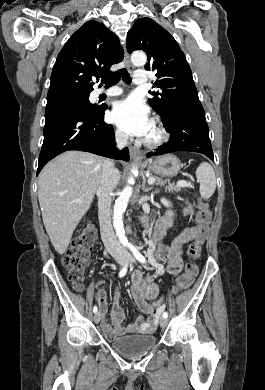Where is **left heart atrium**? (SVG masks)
Here are the masks:
<instances>
[{
  "label": "left heart atrium",
  "instance_id": "obj_1",
  "mask_svg": "<svg viewBox=\"0 0 265 390\" xmlns=\"http://www.w3.org/2000/svg\"><path fill=\"white\" fill-rule=\"evenodd\" d=\"M111 120L126 135L146 138L153 129L146 105L138 98L130 97L115 104Z\"/></svg>",
  "mask_w": 265,
  "mask_h": 390
}]
</instances>
